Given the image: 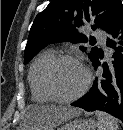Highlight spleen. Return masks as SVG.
I'll return each instance as SVG.
<instances>
[{
  "mask_svg": "<svg viewBox=\"0 0 123 130\" xmlns=\"http://www.w3.org/2000/svg\"><path fill=\"white\" fill-rule=\"evenodd\" d=\"M98 130H118L117 120L105 112L96 111Z\"/></svg>",
  "mask_w": 123,
  "mask_h": 130,
  "instance_id": "spleen-1",
  "label": "spleen"
}]
</instances>
